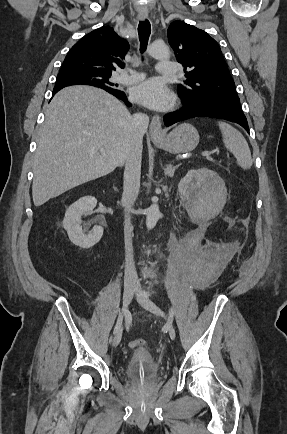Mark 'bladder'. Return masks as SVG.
Here are the masks:
<instances>
[{
  "mask_svg": "<svg viewBox=\"0 0 287 434\" xmlns=\"http://www.w3.org/2000/svg\"><path fill=\"white\" fill-rule=\"evenodd\" d=\"M121 373L131 380L154 379L158 376L159 365L148 352H136L127 361Z\"/></svg>",
  "mask_w": 287,
  "mask_h": 434,
  "instance_id": "31cf9c89",
  "label": "bladder"
}]
</instances>
